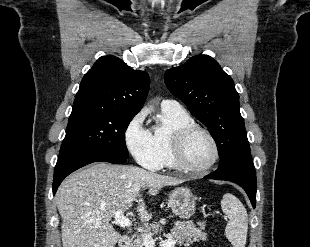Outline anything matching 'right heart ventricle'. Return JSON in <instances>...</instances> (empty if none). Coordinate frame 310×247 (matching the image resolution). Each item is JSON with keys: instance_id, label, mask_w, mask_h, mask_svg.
Returning <instances> with one entry per match:
<instances>
[{"instance_id": "e07e8e85", "label": "right heart ventricle", "mask_w": 310, "mask_h": 247, "mask_svg": "<svg viewBox=\"0 0 310 247\" xmlns=\"http://www.w3.org/2000/svg\"><path fill=\"white\" fill-rule=\"evenodd\" d=\"M163 121L153 127L151 132L158 166L153 170L176 168L172 154V138L176 129L195 124L194 119L185 110H172L162 108Z\"/></svg>"}]
</instances>
